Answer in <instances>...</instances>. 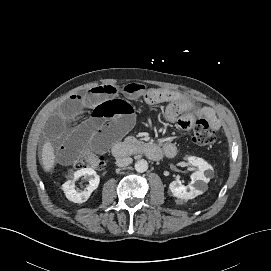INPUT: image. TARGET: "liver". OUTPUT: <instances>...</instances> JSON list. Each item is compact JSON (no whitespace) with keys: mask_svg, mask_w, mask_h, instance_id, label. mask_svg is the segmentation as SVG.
Instances as JSON below:
<instances>
[{"mask_svg":"<svg viewBox=\"0 0 271 271\" xmlns=\"http://www.w3.org/2000/svg\"><path fill=\"white\" fill-rule=\"evenodd\" d=\"M42 164L43 169L49 172L55 166V153L54 148L50 141H45L42 148Z\"/></svg>","mask_w":271,"mask_h":271,"instance_id":"1","label":"liver"}]
</instances>
